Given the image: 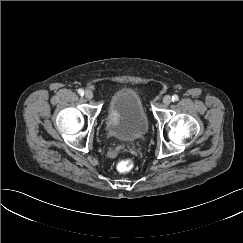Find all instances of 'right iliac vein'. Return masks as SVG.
Returning a JSON list of instances; mask_svg holds the SVG:
<instances>
[{
  "mask_svg": "<svg viewBox=\"0 0 243 243\" xmlns=\"http://www.w3.org/2000/svg\"><path fill=\"white\" fill-rule=\"evenodd\" d=\"M84 96L86 99L91 100L93 98V92L90 90H86Z\"/></svg>",
  "mask_w": 243,
  "mask_h": 243,
  "instance_id": "obj_1",
  "label": "right iliac vein"
}]
</instances>
